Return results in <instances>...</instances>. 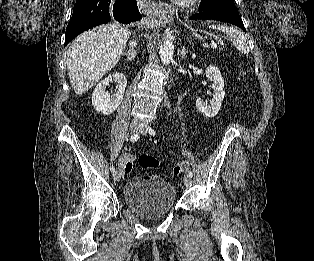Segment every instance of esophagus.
<instances>
[{
    "label": "esophagus",
    "mask_w": 314,
    "mask_h": 261,
    "mask_svg": "<svg viewBox=\"0 0 314 261\" xmlns=\"http://www.w3.org/2000/svg\"><path fill=\"white\" fill-rule=\"evenodd\" d=\"M173 11L174 10H171V9H168V7H166L165 9H161V10H154V13L156 14V15H164V14H166V15H168L169 13L171 14V13H173Z\"/></svg>",
    "instance_id": "obj_1"
}]
</instances>
